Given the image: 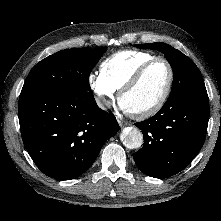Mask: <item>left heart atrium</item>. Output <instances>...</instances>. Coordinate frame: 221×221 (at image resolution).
Listing matches in <instances>:
<instances>
[{"mask_svg": "<svg viewBox=\"0 0 221 221\" xmlns=\"http://www.w3.org/2000/svg\"><path fill=\"white\" fill-rule=\"evenodd\" d=\"M120 107H121V109H122L123 111L129 112V110H128L123 104H121V103H120Z\"/></svg>", "mask_w": 221, "mask_h": 221, "instance_id": "obj_1", "label": "left heart atrium"}]
</instances>
